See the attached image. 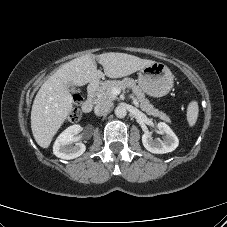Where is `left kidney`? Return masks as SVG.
<instances>
[{"label": "left kidney", "mask_w": 227, "mask_h": 227, "mask_svg": "<svg viewBox=\"0 0 227 227\" xmlns=\"http://www.w3.org/2000/svg\"><path fill=\"white\" fill-rule=\"evenodd\" d=\"M159 131L164 134V140H154L150 133L142 135V143L146 150L154 154H164L174 151L179 144V140L172 129L164 122L157 125Z\"/></svg>", "instance_id": "obj_1"}]
</instances>
